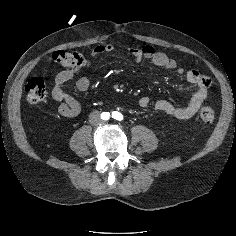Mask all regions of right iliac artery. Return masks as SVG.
Masks as SVG:
<instances>
[{
    "mask_svg": "<svg viewBox=\"0 0 236 236\" xmlns=\"http://www.w3.org/2000/svg\"><path fill=\"white\" fill-rule=\"evenodd\" d=\"M109 116H110L109 113H103V117H104L105 119H109Z\"/></svg>",
    "mask_w": 236,
    "mask_h": 236,
    "instance_id": "right-iliac-artery-1",
    "label": "right iliac artery"
}]
</instances>
